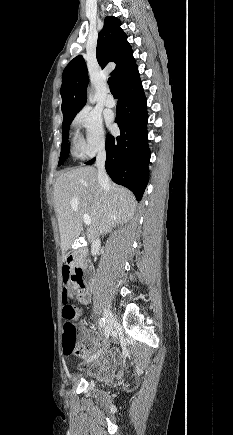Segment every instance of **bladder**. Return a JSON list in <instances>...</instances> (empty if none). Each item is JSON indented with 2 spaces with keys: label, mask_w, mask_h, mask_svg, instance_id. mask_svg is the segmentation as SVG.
Returning <instances> with one entry per match:
<instances>
[{
  "label": "bladder",
  "mask_w": 233,
  "mask_h": 435,
  "mask_svg": "<svg viewBox=\"0 0 233 435\" xmlns=\"http://www.w3.org/2000/svg\"><path fill=\"white\" fill-rule=\"evenodd\" d=\"M114 380H115V378H112V379L109 381V383L113 382Z\"/></svg>",
  "instance_id": "1"
}]
</instances>
